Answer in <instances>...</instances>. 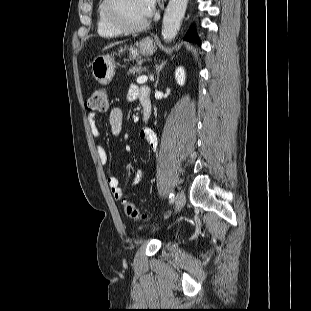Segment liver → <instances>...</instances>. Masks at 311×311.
I'll use <instances>...</instances> for the list:
<instances>
[{
    "instance_id": "6515ba94",
    "label": "liver",
    "mask_w": 311,
    "mask_h": 311,
    "mask_svg": "<svg viewBox=\"0 0 311 311\" xmlns=\"http://www.w3.org/2000/svg\"><path fill=\"white\" fill-rule=\"evenodd\" d=\"M115 44H119V42H116L114 44H110L109 46L105 47L104 49L110 48V47L114 46Z\"/></svg>"
}]
</instances>
